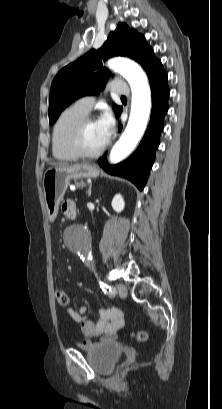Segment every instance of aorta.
I'll list each match as a JSON object with an SVG mask.
<instances>
[{
	"mask_svg": "<svg viewBox=\"0 0 222 409\" xmlns=\"http://www.w3.org/2000/svg\"><path fill=\"white\" fill-rule=\"evenodd\" d=\"M108 66L128 81L132 92L128 124L109 156V162L117 164L131 154L145 133L151 111V91L146 74L135 62L115 58L108 62ZM70 234L73 242L68 243L69 248L78 255L90 259L86 227L76 225L70 230Z\"/></svg>",
	"mask_w": 222,
	"mask_h": 409,
	"instance_id": "1",
	"label": "aorta"
}]
</instances>
